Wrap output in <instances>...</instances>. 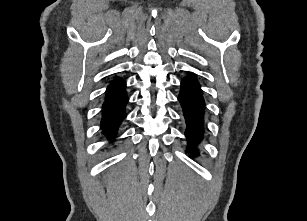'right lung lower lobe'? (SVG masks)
<instances>
[{
  "label": "right lung lower lobe",
  "mask_w": 307,
  "mask_h": 221,
  "mask_svg": "<svg viewBox=\"0 0 307 221\" xmlns=\"http://www.w3.org/2000/svg\"><path fill=\"white\" fill-rule=\"evenodd\" d=\"M128 102L125 94V82L109 86L103 103L101 126L108 139L116 137V131L125 118V106Z\"/></svg>",
  "instance_id": "right-lung-lower-lobe-1"
}]
</instances>
